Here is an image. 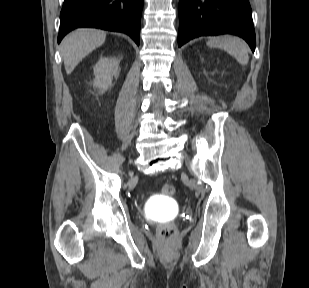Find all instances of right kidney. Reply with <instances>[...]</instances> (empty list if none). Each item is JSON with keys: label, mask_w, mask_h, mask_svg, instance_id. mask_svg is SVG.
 <instances>
[{"label": "right kidney", "mask_w": 309, "mask_h": 288, "mask_svg": "<svg viewBox=\"0 0 309 288\" xmlns=\"http://www.w3.org/2000/svg\"><path fill=\"white\" fill-rule=\"evenodd\" d=\"M119 69V61L115 58H100L94 67V87L101 92L112 86L113 77H116Z\"/></svg>", "instance_id": "obj_1"}]
</instances>
